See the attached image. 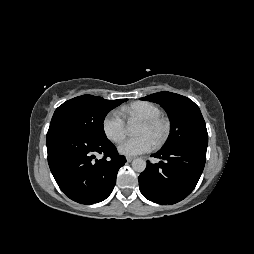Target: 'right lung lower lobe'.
I'll list each match as a JSON object with an SVG mask.
<instances>
[{
  "mask_svg": "<svg viewBox=\"0 0 254 254\" xmlns=\"http://www.w3.org/2000/svg\"><path fill=\"white\" fill-rule=\"evenodd\" d=\"M46 144L50 170L66 196L81 204H93L111 194L126 158L118 155L107 138L54 125L49 127ZM98 154L103 157L97 159Z\"/></svg>",
  "mask_w": 254,
  "mask_h": 254,
  "instance_id": "obj_1",
  "label": "right lung lower lobe"
}]
</instances>
